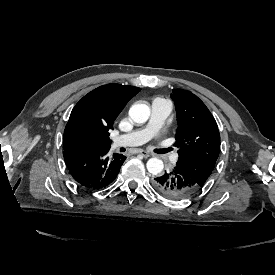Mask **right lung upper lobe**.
I'll return each instance as SVG.
<instances>
[{
    "label": "right lung upper lobe",
    "instance_id": "1",
    "mask_svg": "<svg viewBox=\"0 0 275 275\" xmlns=\"http://www.w3.org/2000/svg\"><path fill=\"white\" fill-rule=\"evenodd\" d=\"M140 88L120 84L100 86L73 108L64 131V152L82 147H110L109 130L125 104Z\"/></svg>",
    "mask_w": 275,
    "mask_h": 275
}]
</instances>
